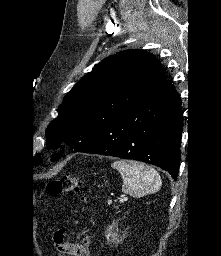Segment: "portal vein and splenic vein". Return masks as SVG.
I'll return each instance as SVG.
<instances>
[{
    "instance_id": "obj_1",
    "label": "portal vein and splenic vein",
    "mask_w": 221,
    "mask_h": 256,
    "mask_svg": "<svg viewBox=\"0 0 221 256\" xmlns=\"http://www.w3.org/2000/svg\"><path fill=\"white\" fill-rule=\"evenodd\" d=\"M125 200H127V197H126V196L123 195V196L120 197V201H121V202H123V201H125Z\"/></svg>"
}]
</instances>
